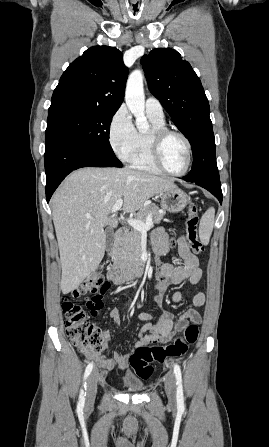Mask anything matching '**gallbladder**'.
Returning <instances> with one entry per match:
<instances>
[{"mask_svg":"<svg viewBox=\"0 0 269 447\" xmlns=\"http://www.w3.org/2000/svg\"><path fill=\"white\" fill-rule=\"evenodd\" d=\"M105 231H106V241H105L106 249H110L114 241V231L113 229H109V227H106Z\"/></svg>","mask_w":269,"mask_h":447,"instance_id":"obj_1","label":"gallbladder"}]
</instances>
